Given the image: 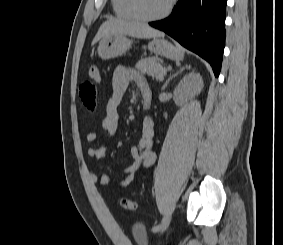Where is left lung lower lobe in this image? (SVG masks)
Segmentation results:
<instances>
[{"mask_svg":"<svg viewBox=\"0 0 283 245\" xmlns=\"http://www.w3.org/2000/svg\"><path fill=\"white\" fill-rule=\"evenodd\" d=\"M226 3L227 0H179L169 17L149 25L207 60L218 77L225 46Z\"/></svg>","mask_w":283,"mask_h":245,"instance_id":"obj_1","label":"left lung lower lobe"}]
</instances>
